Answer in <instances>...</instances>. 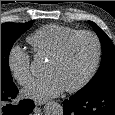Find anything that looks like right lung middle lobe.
Wrapping results in <instances>:
<instances>
[{
  "mask_svg": "<svg viewBox=\"0 0 115 115\" xmlns=\"http://www.w3.org/2000/svg\"><path fill=\"white\" fill-rule=\"evenodd\" d=\"M27 23H4L1 24V84L13 83L9 68V53L17 38L27 31L33 24Z\"/></svg>",
  "mask_w": 115,
  "mask_h": 115,
  "instance_id": "1",
  "label": "right lung middle lobe"
}]
</instances>
